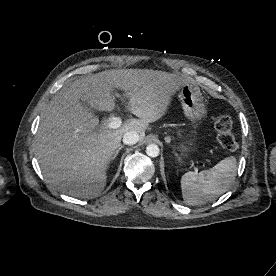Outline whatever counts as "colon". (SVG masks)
Segmentation results:
<instances>
[{
	"label": "colon",
	"mask_w": 276,
	"mask_h": 276,
	"mask_svg": "<svg viewBox=\"0 0 276 276\" xmlns=\"http://www.w3.org/2000/svg\"><path fill=\"white\" fill-rule=\"evenodd\" d=\"M213 124L217 131V138L220 145L228 151H236L239 148V142L232 133V120L228 115L219 114L213 118Z\"/></svg>",
	"instance_id": "5ec220e1"
}]
</instances>
